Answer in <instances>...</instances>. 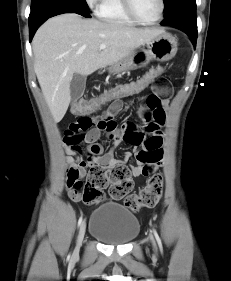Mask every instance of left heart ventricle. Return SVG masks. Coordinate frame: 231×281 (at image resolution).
<instances>
[{
  "instance_id": "obj_1",
  "label": "left heart ventricle",
  "mask_w": 231,
  "mask_h": 281,
  "mask_svg": "<svg viewBox=\"0 0 231 281\" xmlns=\"http://www.w3.org/2000/svg\"><path fill=\"white\" fill-rule=\"evenodd\" d=\"M132 2L140 18L151 21L158 17L160 12V0H132Z\"/></svg>"
}]
</instances>
